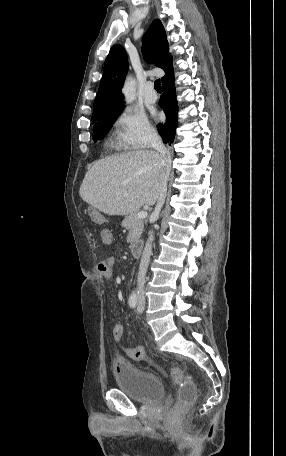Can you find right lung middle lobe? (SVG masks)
I'll use <instances>...</instances> for the list:
<instances>
[{
  "instance_id": "dd1d6c3e",
  "label": "right lung middle lobe",
  "mask_w": 286,
  "mask_h": 456,
  "mask_svg": "<svg viewBox=\"0 0 286 456\" xmlns=\"http://www.w3.org/2000/svg\"><path fill=\"white\" fill-rule=\"evenodd\" d=\"M123 108H117L111 110L102 116L98 117L94 121V128H93V140H101L104 136L108 133L111 129L113 123L117 119V117L121 114Z\"/></svg>"
}]
</instances>
